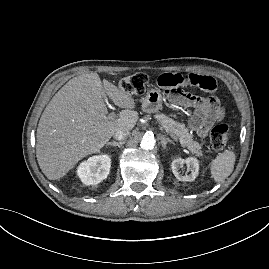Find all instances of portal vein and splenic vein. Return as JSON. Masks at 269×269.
<instances>
[{"label":"portal vein and splenic vein","mask_w":269,"mask_h":269,"mask_svg":"<svg viewBox=\"0 0 269 269\" xmlns=\"http://www.w3.org/2000/svg\"><path fill=\"white\" fill-rule=\"evenodd\" d=\"M109 107L114 110V108L111 105H109ZM111 114L114 115V112H112Z\"/></svg>","instance_id":"1"}]
</instances>
